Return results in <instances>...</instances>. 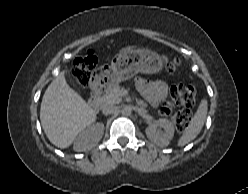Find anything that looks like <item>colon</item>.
<instances>
[{
  "mask_svg": "<svg viewBox=\"0 0 248 194\" xmlns=\"http://www.w3.org/2000/svg\"><path fill=\"white\" fill-rule=\"evenodd\" d=\"M162 63L169 73L175 74L180 70V63L175 57L162 54ZM96 58L87 55L77 60L72 70L76 85L84 89L95 72ZM196 103V88L193 84H179L171 88L170 98L161 109L163 115L169 117L178 131H184L191 121V109ZM182 106L183 109L175 110V107Z\"/></svg>",
  "mask_w": 248,
  "mask_h": 194,
  "instance_id": "1",
  "label": "colon"
}]
</instances>
